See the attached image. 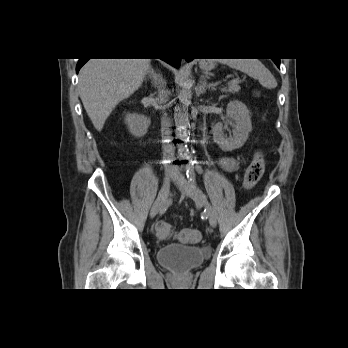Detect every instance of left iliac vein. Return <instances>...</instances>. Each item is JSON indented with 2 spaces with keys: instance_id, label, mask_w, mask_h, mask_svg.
<instances>
[{
  "instance_id": "obj_1",
  "label": "left iliac vein",
  "mask_w": 348,
  "mask_h": 348,
  "mask_svg": "<svg viewBox=\"0 0 348 348\" xmlns=\"http://www.w3.org/2000/svg\"><path fill=\"white\" fill-rule=\"evenodd\" d=\"M176 184L178 188L185 195L193 199L197 204L204 206L206 208L208 219L211 227H216L217 225V216L211 206L207 201L206 195L202 192L200 188L196 185L190 184L185 178L180 177L176 179Z\"/></svg>"
}]
</instances>
